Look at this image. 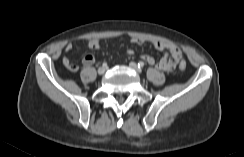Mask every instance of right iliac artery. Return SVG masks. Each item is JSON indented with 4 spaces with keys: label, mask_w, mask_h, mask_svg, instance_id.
<instances>
[{
    "label": "right iliac artery",
    "mask_w": 244,
    "mask_h": 157,
    "mask_svg": "<svg viewBox=\"0 0 244 157\" xmlns=\"http://www.w3.org/2000/svg\"><path fill=\"white\" fill-rule=\"evenodd\" d=\"M102 66L106 67V66H107V63H106V62H104V63L102 64Z\"/></svg>",
    "instance_id": "obj_1"
}]
</instances>
